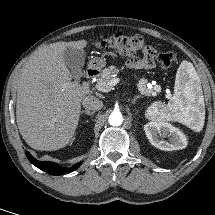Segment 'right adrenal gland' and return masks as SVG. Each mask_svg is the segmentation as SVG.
<instances>
[{
	"label": "right adrenal gland",
	"mask_w": 215,
	"mask_h": 215,
	"mask_svg": "<svg viewBox=\"0 0 215 215\" xmlns=\"http://www.w3.org/2000/svg\"><path fill=\"white\" fill-rule=\"evenodd\" d=\"M81 114H87V115H94V112H90V111H81Z\"/></svg>",
	"instance_id": "2a0ac1e0"
}]
</instances>
